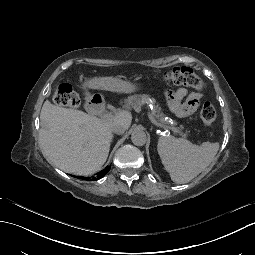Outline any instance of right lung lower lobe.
Returning <instances> with one entry per match:
<instances>
[{"label": "right lung lower lobe", "instance_id": "right-lung-lower-lobe-1", "mask_svg": "<svg viewBox=\"0 0 255 255\" xmlns=\"http://www.w3.org/2000/svg\"><path fill=\"white\" fill-rule=\"evenodd\" d=\"M105 175H106V174H105ZM103 176H104V175L100 176L99 178H93L92 180H93V181H94V180H98V179L102 178ZM79 178H81V177H79ZM83 179L89 180V177H86V178L83 177Z\"/></svg>", "mask_w": 255, "mask_h": 255}]
</instances>
